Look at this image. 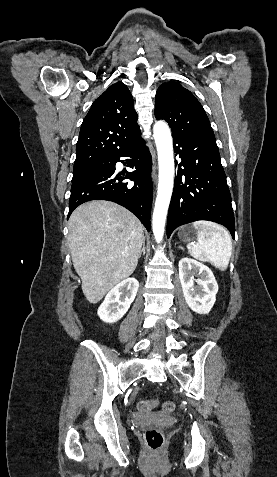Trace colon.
Listing matches in <instances>:
<instances>
[{
  "mask_svg": "<svg viewBox=\"0 0 277 477\" xmlns=\"http://www.w3.org/2000/svg\"><path fill=\"white\" fill-rule=\"evenodd\" d=\"M156 400H141L138 402V409L142 412H148L150 411L153 407L157 405ZM175 408V404L171 401H167L163 404V409L166 412H172ZM164 428L161 426H154L149 428L145 432V441L147 446L153 450L157 451L159 450L164 442Z\"/></svg>",
  "mask_w": 277,
  "mask_h": 477,
  "instance_id": "colon-1",
  "label": "colon"
}]
</instances>
